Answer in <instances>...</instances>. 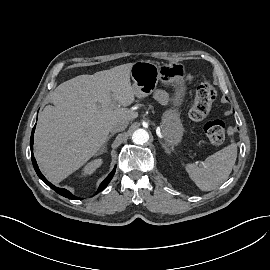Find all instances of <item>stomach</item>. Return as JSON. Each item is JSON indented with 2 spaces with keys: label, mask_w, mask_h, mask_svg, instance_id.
<instances>
[{
  "label": "stomach",
  "mask_w": 270,
  "mask_h": 270,
  "mask_svg": "<svg viewBox=\"0 0 270 270\" xmlns=\"http://www.w3.org/2000/svg\"><path fill=\"white\" fill-rule=\"evenodd\" d=\"M135 96L144 98L151 94L159 81L171 83L176 86V95L173 99L174 107L167 110L161 122L165 146L173 148L177 145L183 134V128L179 119L177 107L185 93V66L182 63L170 62L161 66L151 61H137L133 63L131 71Z\"/></svg>",
  "instance_id": "1"
}]
</instances>
